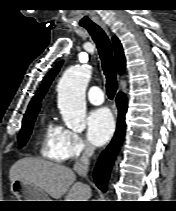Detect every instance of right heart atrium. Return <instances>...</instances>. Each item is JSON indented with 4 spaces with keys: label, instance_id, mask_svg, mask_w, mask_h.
Returning a JSON list of instances; mask_svg holds the SVG:
<instances>
[{
    "label": "right heart atrium",
    "instance_id": "right-heart-atrium-1",
    "mask_svg": "<svg viewBox=\"0 0 176 211\" xmlns=\"http://www.w3.org/2000/svg\"><path fill=\"white\" fill-rule=\"evenodd\" d=\"M65 159H78L91 151V147L78 133L66 130L63 140Z\"/></svg>",
    "mask_w": 176,
    "mask_h": 211
}]
</instances>
